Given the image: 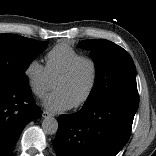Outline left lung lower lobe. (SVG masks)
Returning <instances> with one entry per match:
<instances>
[{"instance_id":"0a47b994","label":"left lung lower lobe","mask_w":156,"mask_h":156,"mask_svg":"<svg viewBox=\"0 0 156 156\" xmlns=\"http://www.w3.org/2000/svg\"><path fill=\"white\" fill-rule=\"evenodd\" d=\"M139 102L112 98L58 117L57 156H116L127 143Z\"/></svg>"}]
</instances>
